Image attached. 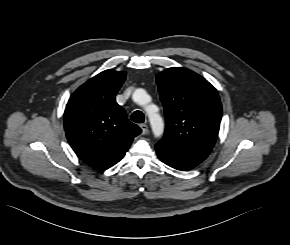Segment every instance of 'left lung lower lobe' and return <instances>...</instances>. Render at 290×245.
I'll use <instances>...</instances> for the list:
<instances>
[{"instance_id":"obj_1","label":"left lung lower lobe","mask_w":290,"mask_h":245,"mask_svg":"<svg viewBox=\"0 0 290 245\" xmlns=\"http://www.w3.org/2000/svg\"><path fill=\"white\" fill-rule=\"evenodd\" d=\"M156 153L160 160L164 162L165 164L169 165L172 168H175L177 170H190L197 166L199 163L194 160L185 159L173 152L168 151L164 147L156 144Z\"/></svg>"}]
</instances>
